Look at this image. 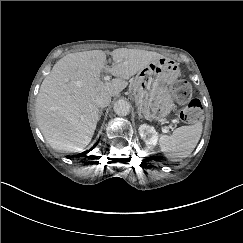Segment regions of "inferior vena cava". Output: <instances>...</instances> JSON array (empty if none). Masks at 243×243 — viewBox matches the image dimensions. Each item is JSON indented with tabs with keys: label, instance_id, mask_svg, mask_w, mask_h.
Returning <instances> with one entry per match:
<instances>
[{
	"label": "inferior vena cava",
	"instance_id": "602c4592",
	"mask_svg": "<svg viewBox=\"0 0 243 243\" xmlns=\"http://www.w3.org/2000/svg\"><path fill=\"white\" fill-rule=\"evenodd\" d=\"M94 102L98 107L103 108L109 105V103L111 102V97L108 93L101 92L96 95Z\"/></svg>",
	"mask_w": 243,
	"mask_h": 243
}]
</instances>
